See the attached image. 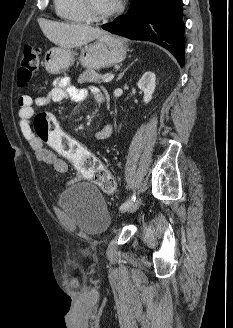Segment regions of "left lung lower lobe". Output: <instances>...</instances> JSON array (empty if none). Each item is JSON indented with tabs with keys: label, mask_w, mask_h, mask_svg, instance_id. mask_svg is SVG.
Returning a JSON list of instances; mask_svg holds the SVG:
<instances>
[{
	"label": "left lung lower lobe",
	"mask_w": 233,
	"mask_h": 328,
	"mask_svg": "<svg viewBox=\"0 0 233 328\" xmlns=\"http://www.w3.org/2000/svg\"><path fill=\"white\" fill-rule=\"evenodd\" d=\"M182 0H133L127 14L102 25L106 31L129 39L157 43L184 65Z\"/></svg>",
	"instance_id": "0a47b994"
}]
</instances>
